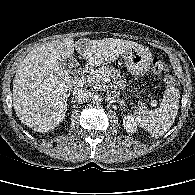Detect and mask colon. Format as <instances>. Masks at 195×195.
<instances>
[{
    "label": "colon",
    "mask_w": 195,
    "mask_h": 195,
    "mask_svg": "<svg viewBox=\"0 0 195 195\" xmlns=\"http://www.w3.org/2000/svg\"><path fill=\"white\" fill-rule=\"evenodd\" d=\"M152 70L157 74L164 75V80L167 86L172 87L177 85V79L169 73V66L162 58H154L152 63Z\"/></svg>",
    "instance_id": "1"
}]
</instances>
